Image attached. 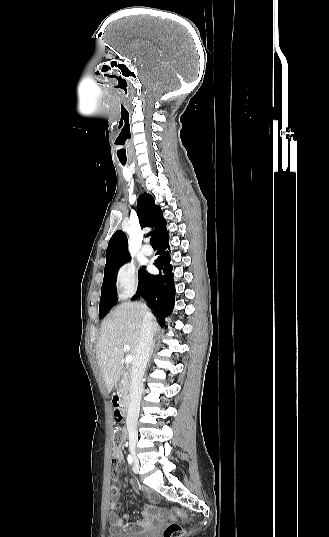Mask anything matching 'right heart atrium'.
Instances as JSON below:
<instances>
[{
  "mask_svg": "<svg viewBox=\"0 0 329 537\" xmlns=\"http://www.w3.org/2000/svg\"><path fill=\"white\" fill-rule=\"evenodd\" d=\"M114 280L121 297L132 295L138 287L135 264L131 261H127L120 265L115 272Z\"/></svg>",
  "mask_w": 329,
  "mask_h": 537,
  "instance_id": "obj_1",
  "label": "right heart atrium"
}]
</instances>
